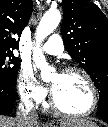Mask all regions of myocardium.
<instances>
[{"mask_svg":"<svg viewBox=\"0 0 108 127\" xmlns=\"http://www.w3.org/2000/svg\"><path fill=\"white\" fill-rule=\"evenodd\" d=\"M69 73H78L84 78V80L89 88L90 96H91V101H90L89 107L86 110H84L82 112H77V113L65 111L58 105V103L55 99V96L53 94V91H51V94H50V106L55 112H57L60 115H64V116H68V117H85V116L91 114L97 107V104H98L97 88L95 86L93 79L89 75V73L87 71H85L84 69H82L80 67L70 66V67L65 68L62 71V74H69Z\"/></svg>","mask_w":108,"mask_h":127,"instance_id":"myocardium-1","label":"myocardium"}]
</instances>
